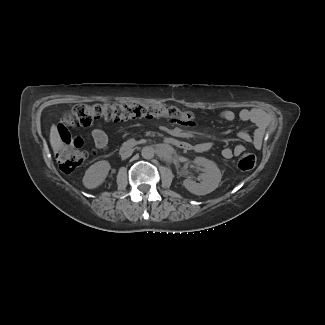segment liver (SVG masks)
Returning <instances> with one entry per match:
<instances>
[{
    "label": "liver",
    "instance_id": "6515ba94",
    "mask_svg": "<svg viewBox=\"0 0 325 325\" xmlns=\"http://www.w3.org/2000/svg\"><path fill=\"white\" fill-rule=\"evenodd\" d=\"M50 144L55 153L58 152L63 146V142L59 135L58 128L54 124L51 126L50 129Z\"/></svg>",
    "mask_w": 325,
    "mask_h": 325
}]
</instances>
